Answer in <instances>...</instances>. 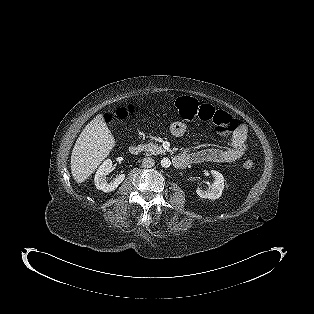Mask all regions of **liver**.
<instances>
[{
  "instance_id": "obj_1",
  "label": "liver",
  "mask_w": 314,
  "mask_h": 314,
  "mask_svg": "<svg viewBox=\"0 0 314 314\" xmlns=\"http://www.w3.org/2000/svg\"><path fill=\"white\" fill-rule=\"evenodd\" d=\"M115 147V139L104 117L97 115L79 135L71 154V173L77 183L84 182Z\"/></svg>"
}]
</instances>
